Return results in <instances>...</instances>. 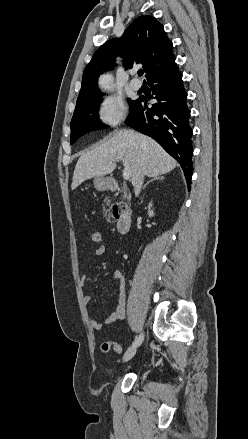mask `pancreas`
<instances>
[{
    "label": "pancreas",
    "mask_w": 248,
    "mask_h": 439,
    "mask_svg": "<svg viewBox=\"0 0 248 439\" xmlns=\"http://www.w3.org/2000/svg\"><path fill=\"white\" fill-rule=\"evenodd\" d=\"M121 191L123 192V198L128 200L130 198V195L127 194L126 189L123 188Z\"/></svg>",
    "instance_id": "1"
}]
</instances>
